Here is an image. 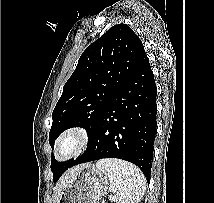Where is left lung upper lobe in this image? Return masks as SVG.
I'll return each mask as SVG.
<instances>
[{"label": "left lung upper lobe", "mask_w": 214, "mask_h": 203, "mask_svg": "<svg viewBox=\"0 0 214 203\" xmlns=\"http://www.w3.org/2000/svg\"><path fill=\"white\" fill-rule=\"evenodd\" d=\"M144 54L141 40L126 24L111 27L89 45L52 113L50 145L53 147L59 134L72 127L85 128L89 139L99 117ZM72 161L57 162L52 155L54 182Z\"/></svg>", "instance_id": "obj_1"}]
</instances>
